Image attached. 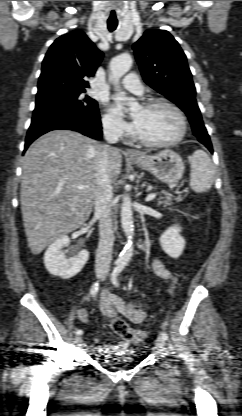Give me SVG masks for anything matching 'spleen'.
Instances as JSON below:
<instances>
[{"label":"spleen","instance_id":"1","mask_svg":"<svg viewBox=\"0 0 242 416\" xmlns=\"http://www.w3.org/2000/svg\"><path fill=\"white\" fill-rule=\"evenodd\" d=\"M190 187L195 192H205L214 182L215 169L208 154L196 150L191 158Z\"/></svg>","mask_w":242,"mask_h":416}]
</instances>
